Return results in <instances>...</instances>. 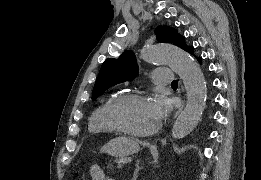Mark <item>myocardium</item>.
Instances as JSON below:
<instances>
[{
    "label": "myocardium",
    "instance_id": "obj_1",
    "mask_svg": "<svg viewBox=\"0 0 261 180\" xmlns=\"http://www.w3.org/2000/svg\"><path fill=\"white\" fill-rule=\"evenodd\" d=\"M142 98H146V95H145V93L139 92V91L120 94L112 101V103L106 109L105 118H106L109 128L111 129V131L115 137H126V138H130V139L149 140L157 135V133L159 132V130L162 127L163 114L161 112H159L158 122L155 125V127L149 133H147L143 136H129V135L123 134L122 131L120 130L119 126L113 120V118L111 116V112L115 107L122 106L130 100L142 99Z\"/></svg>",
    "mask_w": 261,
    "mask_h": 180
}]
</instances>
